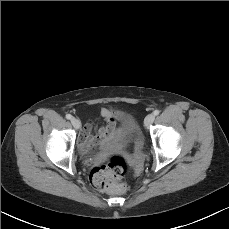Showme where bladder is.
Instances as JSON below:
<instances>
[{
  "mask_svg": "<svg viewBox=\"0 0 229 229\" xmlns=\"http://www.w3.org/2000/svg\"><path fill=\"white\" fill-rule=\"evenodd\" d=\"M142 136L140 127L133 117H127L121 124L117 142L123 146L130 145Z\"/></svg>",
  "mask_w": 229,
  "mask_h": 229,
  "instance_id": "31cf9c89",
  "label": "bladder"
}]
</instances>
